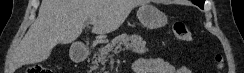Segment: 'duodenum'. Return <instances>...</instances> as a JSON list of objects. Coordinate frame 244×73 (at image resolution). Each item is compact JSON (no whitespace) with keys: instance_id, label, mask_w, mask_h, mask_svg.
<instances>
[{"instance_id":"410a0bca","label":"duodenum","mask_w":244,"mask_h":73,"mask_svg":"<svg viewBox=\"0 0 244 73\" xmlns=\"http://www.w3.org/2000/svg\"><path fill=\"white\" fill-rule=\"evenodd\" d=\"M91 49L85 43L75 44L70 51V56L73 62L79 63L84 61L90 55Z\"/></svg>"}]
</instances>
